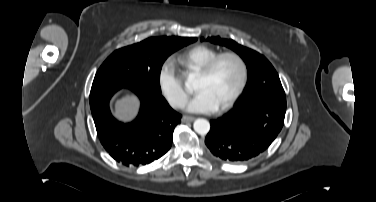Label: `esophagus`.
I'll return each instance as SVG.
<instances>
[{
    "label": "esophagus",
    "instance_id": "obj_1",
    "mask_svg": "<svg viewBox=\"0 0 376 202\" xmlns=\"http://www.w3.org/2000/svg\"><path fill=\"white\" fill-rule=\"evenodd\" d=\"M194 119L195 118L193 116L184 115L182 117V122H184V123H186V122H192V121H194Z\"/></svg>",
    "mask_w": 376,
    "mask_h": 202
}]
</instances>
